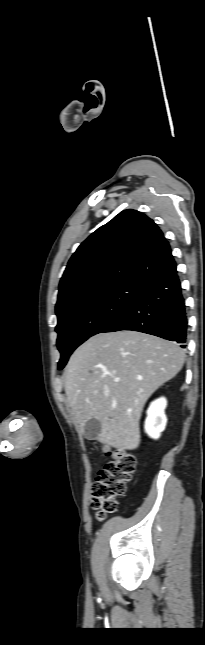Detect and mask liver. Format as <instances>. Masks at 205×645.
<instances>
[{
    "label": "liver",
    "instance_id": "liver-1",
    "mask_svg": "<svg viewBox=\"0 0 205 645\" xmlns=\"http://www.w3.org/2000/svg\"><path fill=\"white\" fill-rule=\"evenodd\" d=\"M178 344L136 331L99 333L71 355L65 393L79 433L90 419L101 424L96 439L133 450L140 444L139 421L148 398L182 369Z\"/></svg>",
    "mask_w": 205,
    "mask_h": 645
}]
</instances>
